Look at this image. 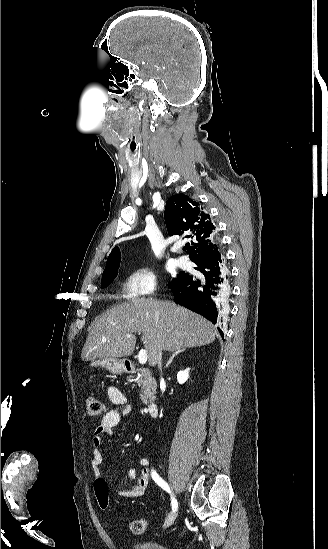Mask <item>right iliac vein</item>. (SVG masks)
<instances>
[{"mask_svg":"<svg viewBox=\"0 0 328 549\" xmlns=\"http://www.w3.org/2000/svg\"><path fill=\"white\" fill-rule=\"evenodd\" d=\"M176 517H177V511L174 512L173 514H170L167 519L165 520V523H164V527L165 528H168L170 527L176 520Z\"/></svg>","mask_w":328,"mask_h":549,"instance_id":"1","label":"right iliac vein"}]
</instances>
